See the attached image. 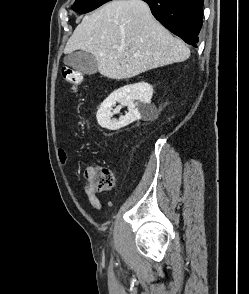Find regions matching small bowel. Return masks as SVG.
I'll return each instance as SVG.
<instances>
[{
  "instance_id": "small-bowel-1",
  "label": "small bowel",
  "mask_w": 249,
  "mask_h": 294,
  "mask_svg": "<svg viewBox=\"0 0 249 294\" xmlns=\"http://www.w3.org/2000/svg\"><path fill=\"white\" fill-rule=\"evenodd\" d=\"M58 159L62 165H65L68 160L67 151L64 148L58 149ZM84 192L87 196V199L90 205L96 210H102L103 204L100 201L99 197L97 196V190L90 185L88 182L84 185Z\"/></svg>"
}]
</instances>
